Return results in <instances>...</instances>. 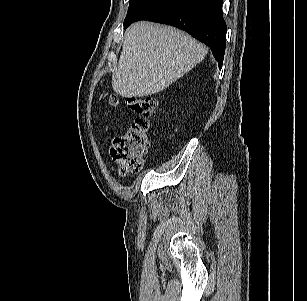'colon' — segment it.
I'll return each instance as SVG.
<instances>
[{"label":"colon","instance_id":"obj_1","mask_svg":"<svg viewBox=\"0 0 307 301\" xmlns=\"http://www.w3.org/2000/svg\"><path fill=\"white\" fill-rule=\"evenodd\" d=\"M117 103L116 97L111 98V106H116ZM126 104L138 114V118L112 142L111 156L121 175L135 174L142 169L148 149L150 121L155 113L157 101L149 96H129L126 98Z\"/></svg>","mask_w":307,"mask_h":301}]
</instances>
